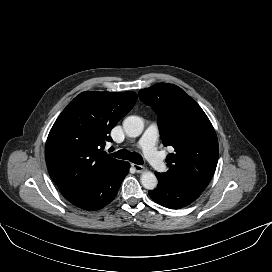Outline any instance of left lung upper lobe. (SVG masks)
Listing matches in <instances>:
<instances>
[{"label":"left lung upper lobe","instance_id":"1","mask_svg":"<svg viewBox=\"0 0 272 272\" xmlns=\"http://www.w3.org/2000/svg\"><path fill=\"white\" fill-rule=\"evenodd\" d=\"M138 95L158 115L163 144L175 149L166 159L168 171L159 174L205 189L215 172L219 147L204 111L173 84H156L140 90Z\"/></svg>","mask_w":272,"mask_h":272}]
</instances>
